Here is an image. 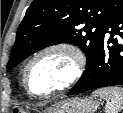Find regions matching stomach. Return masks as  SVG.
Wrapping results in <instances>:
<instances>
[{"mask_svg":"<svg viewBox=\"0 0 123 113\" xmlns=\"http://www.w3.org/2000/svg\"><path fill=\"white\" fill-rule=\"evenodd\" d=\"M99 102L92 97H74L49 108L45 113H94Z\"/></svg>","mask_w":123,"mask_h":113,"instance_id":"1","label":"stomach"}]
</instances>
